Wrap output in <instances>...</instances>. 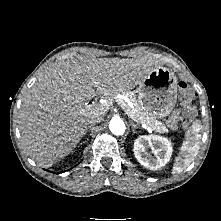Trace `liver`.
<instances>
[{"mask_svg": "<svg viewBox=\"0 0 221 221\" xmlns=\"http://www.w3.org/2000/svg\"><path fill=\"white\" fill-rule=\"evenodd\" d=\"M160 65L152 59L71 58L49 68L24 95L19 112L21 140L41 167H51L78 145L92 98L133 89Z\"/></svg>", "mask_w": 221, "mask_h": 221, "instance_id": "6515ba94", "label": "liver"}]
</instances>
